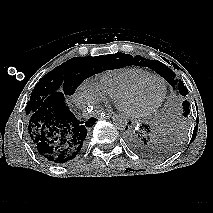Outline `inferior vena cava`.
<instances>
[{
  "label": "inferior vena cava",
  "instance_id": "inferior-vena-cava-1",
  "mask_svg": "<svg viewBox=\"0 0 213 213\" xmlns=\"http://www.w3.org/2000/svg\"><path fill=\"white\" fill-rule=\"evenodd\" d=\"M83 116H84V118H86V119H87V118H89V116H90V115H89V113H87V112H86V113H84V115H83Z\"/></svg>",
  "mask_w": 213,
  "mask_h": 213
}]
</instances>
